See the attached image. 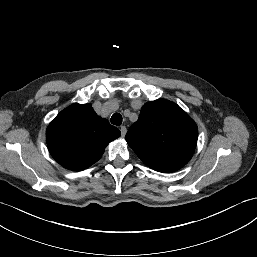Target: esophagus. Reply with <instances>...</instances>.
Returning a JSON list of instances; mask_svg holds the SVG:
<instances>
[{
  "label": "esophagus",
  "mask_w": 257,
  "mask_h": 257,
  "mask_svg": "<svg viewBox=\"0 0 257 257\" xmlns=\"http://www.w3.org/2000/svg\"><path fill=\"white\" fill-rule=\"evenodd\" d=\"M120 131H121V136L125 137L126 132H127V128L125 126H121L120 127Z\"/></svg>",
  "instance_id": "esophagus-1"
}]
</instances>
